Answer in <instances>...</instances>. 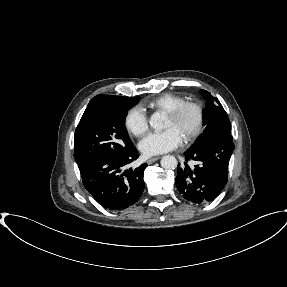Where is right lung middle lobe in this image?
<instances>
[{
    "label": "right lung middle lobe",
    "instance_id": "1",
    "mask_svg": "<svg viewBox=\"0 0 287 287\" xmlns=\"http://www.w3.org/2000/svg\"><path fill=\"white\" fill-rule=\"evenodd\" d=\"M139 97H119L102 101L82 118L75 131L74 158L79 169L101 155L128 154L135 149L130 141L125 117Z\"/></svg>",
    "mask_w": 287,
    "mask_h": 287
}]
</instances>
